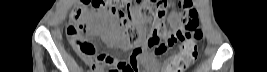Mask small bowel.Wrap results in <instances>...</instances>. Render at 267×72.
<instances>
[{"instance_id":"c3829d8e","label":"small bowel","mask_w":267,"mask_h":72,"mask_svg":"<svg viewBox=\"0 0 267 72\" xmlns=\"http://www.w3.org/2000/svg\"><path fill=\"white\" fill-rule=\"evenodd\" d=\"M133 10L136 12L139 9L133 8ZM167 22L173 32V35L175 37V40H181L180 34L182 31V18L178 15L177 12L173 11L169 14L167 18ZM105 27V32H103V28ZM94 33H103L104 37H108L110 41L121 48H127L128 43L126 39L118 33L116 30L114 23L110 19H104L101 21L100 26L95 27L93 29ZM73 49L77 52L76 48L71 45ZM78 53V52H77ZM155 54H160L155 51ZM80 56V54L78 53ZM81 57V56H80ZM82 58V57H81ZM92 58H95L92 56ZM175 56H169L163 60H159L153 56L145 54L142 50H133L130 56L131 59V67L130 70H126L127 72H140L141 70L138 67V62L141 60V62L144 64V70L143 72H172V63L175 60ZM83 59V58H82ZM93 68L98 67L97 65H91ZM93 72H104L102 69H94Z\"/></svg>"}]
</instances>
